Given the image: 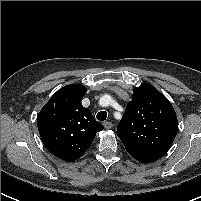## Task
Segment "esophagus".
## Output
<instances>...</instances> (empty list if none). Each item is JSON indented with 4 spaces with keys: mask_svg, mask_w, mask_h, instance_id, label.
Listing matches in <instances>:
<instances>
[{
    "mask_svg": "<svg viewBox=\"0 0 201 201\" xmlns=\"http://www.w3.org/2000/svg\"><path fill=\"white\" fill-rule=\"evenodd\" d=\"M103 125H104V127H105L106 129H111V128L113 127V124H112L111 122H109V121H105V122L103 123Z\"/></svg>",
    "mask_w": 201,
    "mask_h": 201,
    "instance_id": "obj_1",
    "label": "esophagus"
}]
</instances>
